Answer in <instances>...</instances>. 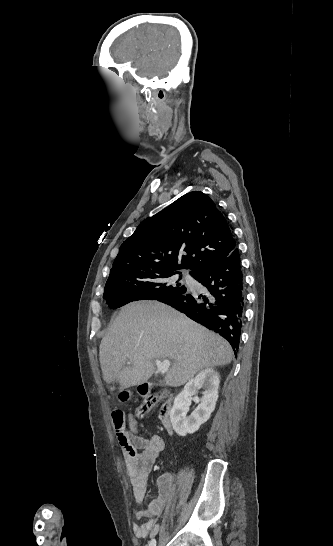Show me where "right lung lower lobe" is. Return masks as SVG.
<instances>
[{"instance_id": "right-lung-lower-lobe-1", "label": "right lung lower lobe", "mask_w": 333, "mask_h": 546, "mask_svg": "<svg viewBox=\"0 0 333 546\" xmlns=\"http://www.w3.org/2000/svg\"><path fill=\"white\" fill-rule=\"evenodd\" d=\"M193 277L207 288L200 294L170 295L158 299L219 333L238 352L244 320L245 285L238 249L210 264Z\"/></svg>"}]
</instances>
